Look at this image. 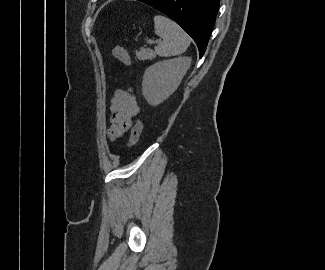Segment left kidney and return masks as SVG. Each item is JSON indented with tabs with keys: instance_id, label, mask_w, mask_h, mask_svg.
Here are the masks:
<instances>
[{
	"instance_id": "1",
	"label": "left kidney",
	"mask_w": 325,
	"mask_h": 270,
	"mask_svg": "<svg viewBox=\"0 0 325 270\" xmlns=\"http://www.w3.org/2000/svg\"><path fill=\"white\" fill-rule=\"evenodd\" d=\"M190 64L191 58L179 57L148 67L142 82V94L146 101L157 106L169 98L178 88Z\"/></svg>"
}]
</instances>
